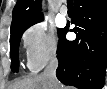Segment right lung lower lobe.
I'll list each match as a JSON object with an SVG mask.
<instances>
[{"label":"right lung lower lobe","mask_w":107,"mask_h":89,"mask_svg":"<svg viewBox=\"0 0 107 89\" xmlns=\"http://www.w3.org/2000/svg\"><path fill=\"white\" fill-rule=\"evenodd\" d=\"M77 38L59 32L57 78L79 89H102L107 67V0H74Z\"/></svg>","instance_id":"98d812e1"}]
</instances>
